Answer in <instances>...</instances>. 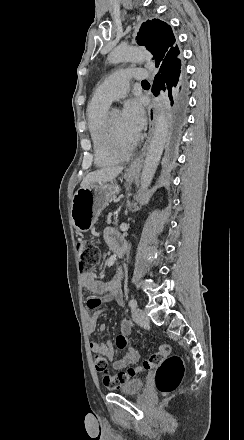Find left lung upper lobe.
<instances>
[{
    "label": "left lung upper lobe",
    "instance_id": "1",
    "mask_svg": "<svg viewBox=\"0 0 244 440\" xmlns=\"http://www.w3.org/2000/svg\"><path fill=\"white\" fill-rule=\"evenodd\" d=\"M137 43L145 46L156 60V67L166 66L178 59L180 54L171 27L159 19L142 23L137 34Z\"/></svg>",
    "mask_w": 244,
    "mask_h": 440
}]
</instances>
